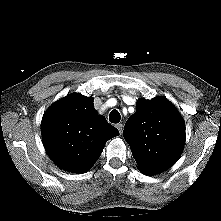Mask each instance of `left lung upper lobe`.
<instances>
[{
	"label": "left lung upper lobe",
	"instance_id": "5c2ea615",
	"mask_svg": "<svg viewBox=\"0 0 221 221\" xmlns=\"http://www.w3.org/2000/svg\"><path fill=\"white\" fill-rule=\"evenodd\" d=\"M123 136L138 169L154 175L179 159L185 144V123L176 107L165 98L141 99L135 114L126 121Z\"/></svg>",
	"mask_w": 221,
	"mask_h": 221
}]
</instances>
